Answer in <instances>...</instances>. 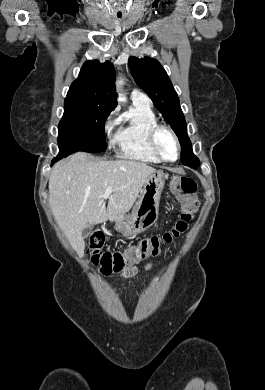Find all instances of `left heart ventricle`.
I'll use <instances>...</instances> for the list:
<instances>
[{
  "label": "left heart ventricle",
  "instance_id": "b2bd125f",
  "mask_svg": "<svg viewBox=\"0 0 265 390\" xmlns=\"http://www.w3.org/2000/svg\"><path fill=\"white\" fill-rule=\"evenodd\" d=\"M157 143L160 151L167 159L175 158L176 145L172 136L168 132L166 131L160 132L158 135Z\"/></svg>",
  "mask_w": 265,
  "mask_h": 390
}]
</instances>
